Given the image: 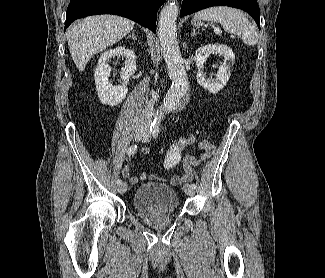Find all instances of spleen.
Segmentation results:
<instances>
[{
    "label": "spleen",
    "instance_id": "spleen-1",
    "mask_svg": "<svg viewBox=\"0 0 325 278\" xmlns=\"http://www.w3.org/2000/svg\"><path fill=\"white\" fill-rule=\"evenodd\" d=\"M194 18L220 23L226 32L238 35L246 45L254 46L258 42L256 27L237 9L226 6L211 7L197 12Z\"/></svg>",
    "mask_w": 325,
    "mask_h": 278
}]
</instances>
